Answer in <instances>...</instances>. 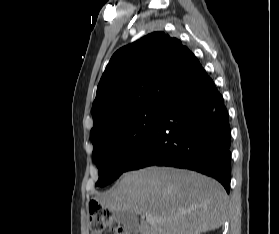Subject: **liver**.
Segmentation results:
<instances>
[{
  "label": "liver",
  "mask_w": 279,
  "mask_h": 234,
  "mask_svg": "<svg viewBox=\"0 0 279 234\" xmlns=\"http://www.w3.org/2000/svg\"><path fill=\"white\" fill-rule=\"evenodd\" d=\"M96 200L115 213L152 215L154 223L141 220V234H201L220 228L228 214V197L220 183L166 167L124 173L115 187Z\"/></svg>",
  "instance_id": "obj_1"
}]
</instances>
